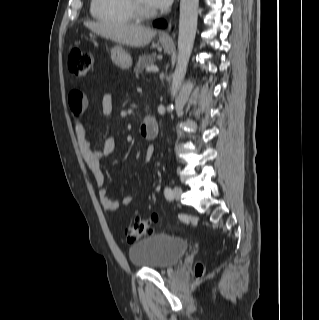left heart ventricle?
I'll use <instances>...</instances> for the list:
<instances>
[{"label": "left heart ventricle", "instance_id": "b2bd125f", "mask_svg": "<svg viewBox=\"0 0 319 320\" xmlns=\"http://www.w3.org/2000/svg\"><path fill=\"white\" fill-rule=\"evenodd\" d=\"M141 3L149 9H153V7L149 4L148 0H141Z\"/></svg>", "mask_w": 319, "mask_h": 320}]
</instances>
